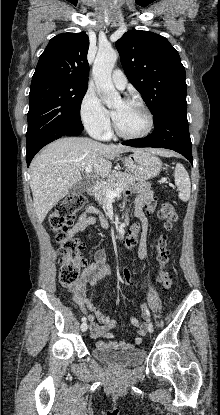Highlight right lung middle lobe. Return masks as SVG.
<instances>
[{
  "mask_svg": "<svg viewBox=\"0 0 220 415\" xmlns=\"http://www.w3.org/2000/svg\"><path fill=\"white\" fill-rule=\"evenodd\" d=\"M87 88L49 79L31 82L26 148L46 134L82 130L80 107Z\"/></svg>",
  "mask_w": 220,
  "mask_h": 415,
  "instance_id": "1",
  "label": "right lung middle lobe"
}]
</instances>
